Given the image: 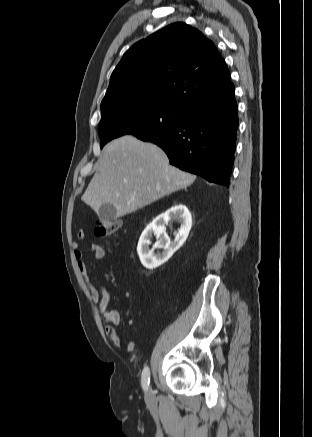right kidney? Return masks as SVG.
I'll list each match as a JSON object with an SVG mask.
<instances>
[{
	"mask_svg": "<svg viewBox=\"0 0 312 437\" xmlns=\"http://www.w3.org/2000/svg\"><path fill=\"white\" fill-rule=\"evenodd\" d=\"M181 223V227L173 242L166 234L165 224L169 221ZM192 225V217L185 205H176L157 216L141 234L137 252L140 261L147 269H155L165 263L186 241ZM156 235L157 242L149 249L150 238ZM155 248H163V253L154 254Z\"/></svg>",
	"mask_w": 312,
	"mask_h": 437,
	"instance_id": "ca27d5eb",
	"label": "right kidney"
}]
</instances>
